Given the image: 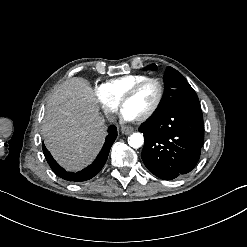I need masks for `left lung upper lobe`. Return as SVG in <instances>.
Here are the masks:
<instances>
[{"instance_id": "1", "label": "left lung upper lobe", "mask_w": 247, "mask_h": 247, "mask_svg": "<svg viewBox=\"0 0 247 247\" xmlns=\"http://www.w3.org/2000/svg\"><path fill=\"white\" fill-rule=\"evenodd\" d=\"M156 68V65L152 64L145 67V70H155ZM164 82L166 85L164 96L152 116L160 115L178 106L200 107L197 94L180 72L168 66L164 74Z\"/></svg>"}]
</instances>
